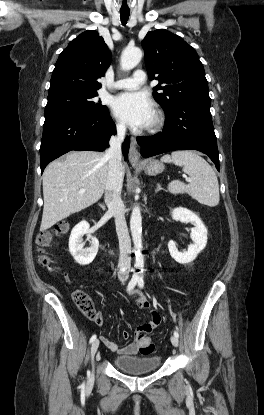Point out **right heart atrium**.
<instances>
[{"mask_svg":"<svg viewBox=\"0 0 264 415\" xmlns=\"http://www.w3.org/2000/svg\"><path fill=\"white\" fill-rule=\"evenodd\" d=\"M116 128H117L119 131L123 132V131H125L126 126H125V124H124L122 121H117V122H116Z\"/></svg>","mask_w":264,"mask_h":415,"instance_id":"1","label":"right heart atrium"}]
</instances>
